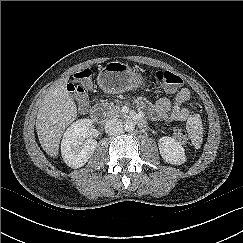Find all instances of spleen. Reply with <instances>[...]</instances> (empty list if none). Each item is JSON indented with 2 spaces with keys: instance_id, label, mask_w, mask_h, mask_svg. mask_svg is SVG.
<instances>
[{
  "instance_id": "spleen-1",
  "label": "spleen",
  "mask_w": 243,
  "mask_h": 243,
  "mask_svg": "<svg viewBox=\"0 0 243 243\" xmlns=\"http://www.w3.org/2000/svg\"><path fill=\"white\" fill-rule=\"evenodd\" d=\"M187 130L189 132L193 144L199 147L203 140V127L200 115L195 114L188 119Z\"/></svg>"
}]
</instances>
